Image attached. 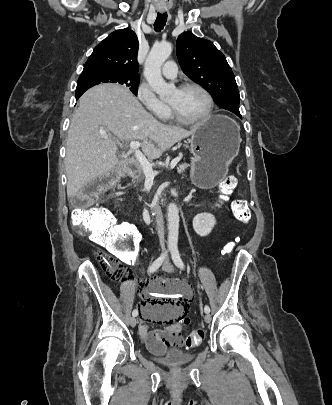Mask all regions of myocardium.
Wrapping results in <instances>:
<instances>
[{"label": "myocardium", "mask_w": 332, "mask_h": 405, "mask_svg": "<svg viewBox=\"0 0 332 405\" xmlns=\"http://www.w3.org/2000/svg\"><path fill=\"white\" fill-rule=\"evenodd\" d=\"M188 89H196L205 96V98L207 100L206 111L201 116H199L195 119H186V118H183L178 113V111L175 109V107L173 105L169 104L171 116L173 117L174 120H176L177 122L182 123V124L193 125V124L202 123V122L206 121L213 112V108H214L213 97L205 87H203L202 85H200L198 83L187 82L178 87V90H180V91H184V90H188Z\"/></svg>", "instance_id": "f54148a6"}]
</instances>
